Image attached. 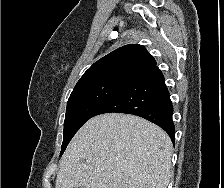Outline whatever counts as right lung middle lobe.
Masks as SVG:
<instances>
[{
    "instance_id": "obj_1",
    "label": "right lung middle lobe",
    "mask_w": 224,
    "mask_h": 188,
    "mask_svg": "<svg viewBox=\"0 0 224 188\" xmlns=\"http://www.w3.org/2000/svg\"><path fill=\"white\" fill-rule=\"evenodd\" d=\"M130 81L113 77L76 84L67 102L60 156L78 129Z\"/></svg>"
}]
</instances>
